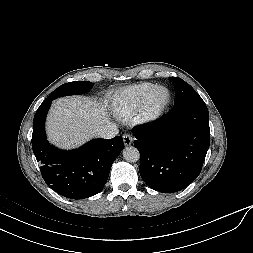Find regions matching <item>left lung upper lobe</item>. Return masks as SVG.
I'll return each instance as SVG.
<instances>
[{"mask_svg":"<svg viewBox=\"0 0 253 253\" xmlns=\"http://www.w3.org/2000/svg\"><path fill=\"white\" fill-rule=\"evenodd\" d=\"M175 87V101L174 106L183 104L194 98L200 97L199 94L184 80L178 77L170 78Z\"/></svg>","mask_w":253,"mask_h":253,"instance_id":"left-lung-upper-lobe-1","label":"left lung upper lobe"}]
</instances>
